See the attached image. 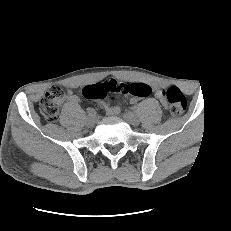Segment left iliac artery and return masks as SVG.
<instances>
[{
	"label": "left iliac artery",
	"mask_w": 231,
	"mask_h": 231,
	"mask_svg": "<svg viewBox=\"0 0 231 231\" xmlns=\"http://www.w3.org/2000/svg\"><path fill=\"white\" fill-rule=\"evenodd\" d=\"M132 111H133L134 113H137V112L139 111V108H138L137 106H134V107L132 108Z\"/></svg>",
	"instance_id": "obj_1"
}]
</instances>
